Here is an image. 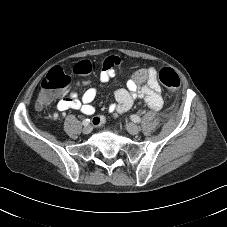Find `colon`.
Masks as SVG:
<instances>
[{
	"label": "colon",
	"mask_w": 227,
	"mask_h": 227,
	"mask_svg": "<svg viewBox=\"0 0 227 227\" xmlns=\"http://www.w3.org/2000/svg\"><path fill=\"white\" fill-rule=\"evenodd\" d=\"M94 64L89 60H81L72 66V71L79 75H88L93 71ZM160 83L169 91L175 92L180 88L179 75L171 68H162L158 73ZM71 82L70 76L60 67H53L40 83V91L36 107L41 108L49 104L60 91L66 89Z\"/></svg>",
	"instance_id": "5ec220e1"
}]
</instances>
